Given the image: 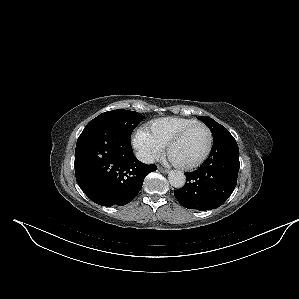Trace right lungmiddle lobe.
Returning <instances> with one entry per match:
<instances>
[{
    "mask_svg": "<svg viewBox=\"0 0 299 299\" xmlns=\"http://www.w3.org/2000/svg\"><path fill=\"white\" fill-rule=\"evenodd\" d=\"M144 116L138 112L117 109L100 114L91 122H102L114 126L127 136H131L134 128L139 124Z\"/></svg>",
    "mask_w": 299,
    "mask_h": 299,
    "instance_id": "right-lung-middle-lobe-1",
    "label": "right lung middle lobe"
}]
</instances>
